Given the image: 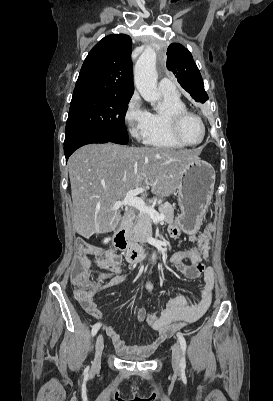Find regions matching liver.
<instances>
[{"mask_svg":"<svg viewBox=\"0 0 273 401\" xmlns=\"http://www.w3.org/2000/svg\"><path fill=\"white\" fill-rule=\"evenodd\" d=\"M200 150L150 148L122 144H85L71 154L68 172L73 201V227L89 239L115 231L122 217L113 209L128 190L151 184L153 194L169 196L187 162L200 160Z\"/></svg>","mask_w":273,"mask_h":401,"instance_id":"1","label":"liver"}]
</instances>
